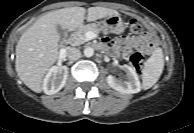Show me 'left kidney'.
<instances>
[{
	"mask_svg": "<svg viewBox=\"0 0 194 133\" xmlns=\"http://www.w3.org/2000/svg\"><path fill=\"white\" fill-rule=\"evenodd\" d=\"M122 68L126 73V80H120L109 75L107 77L108 85L123 94H134L140 92L141 84L135 69L126 64L123 65Z\"/></svg>",
	"mask_w": 194,
	"mask_h": 133,
	"instance_id": "obj_1",
	"label": "left kidney"
}]
</instances>
